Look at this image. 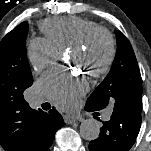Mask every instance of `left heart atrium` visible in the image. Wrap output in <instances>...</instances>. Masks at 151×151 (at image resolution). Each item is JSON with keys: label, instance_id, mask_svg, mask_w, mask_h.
Returning a JSON list of instances; mask_svg holds the SVG:
<instances>
[{"label": "left heart atrium", "instance_id": "1", "mask_svg": "<svg viewBox=\"0 0 151 151\" xmlns=\"http://www.w3.org/2000/svg\"><path fill=\"white\" fill-rule=\"evenodd\" d=\"M40 85L49 99L64 109L72 107L88 90L84 76L60 69L46 73L41 78Z\"/></svg>", "mask_w": 151, "mask_h": 151}]
</instances>
